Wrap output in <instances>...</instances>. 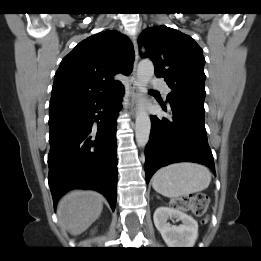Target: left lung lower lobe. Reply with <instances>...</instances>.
Returning <instances> with one entry per match:
<instances>
[{
  "instance_id": "left-lung-lower-lobe-1",
  "label": "left lung lower lobe",
  "mask_w": 261,
  "mask_h": 261,
  "mask_svg": "<svg viewBox=\"0 0 261 261\" xmlns=\"http://www.w3.org/2000/svg\"><path fill=\"white\" fill-rule=\"evenodd\" d=\"M167 111L165 105H162ZM171 120L151 116L150 140L145 148V173L148 183L161 167L177 162H196L215 172L213 155L207 142L204 106L188 99L169 102Z\"/></svg>"
}]
</instances>
